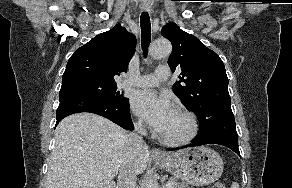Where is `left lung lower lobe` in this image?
Wrapping results in <instances>:
<instances>
[{
	"mask_svg": "<svg viewBox=\"0 0 292 188\" xmlns=\"http://www.w3.org/2000/svg\"><path fill=\"white\" fill-rule=\"evenodd\" d=\"M205 144L223 145L240 155L238 148V134L236 132L234 118L226 119L206 131L199 132L198 138L190 144L189 147L201 146Z\"/></svg>",
	"mask_w": 292,
	"mask_h": 188,
	"instance_id": "1",
	"label": "left lung lower lobe"
}]
</instances>
